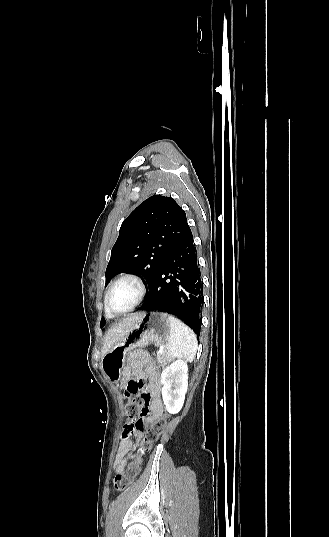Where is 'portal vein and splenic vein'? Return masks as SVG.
<instances>
[{
  "instance_id": "obj_1",
  "label": "portal vein and splenic vein",
  "mask_w": 329,
  "mask_h": 537,
  "mask_svg": "<svg viewBox=\"0 0 329 537\" xmlns=\"http://www.w3.org/2000/svg\"><path fill=\"white\" fill-rule=\"evenodd\" d=\"M163 350H164V347L161 346V347H160V351H163Z\"/></svg>"
}]
</instances>
